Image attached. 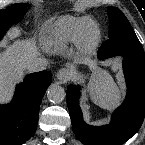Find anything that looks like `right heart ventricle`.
<instances>
[{
    "instance_id": "1",
    "label": "right heart ventricle",
    "mask_w": 145,
    "mask_h": 145,
    "mask_svg": "<svg viewBox=\"0 0 145 145\" xmlns=\"http://www.w3.org/2000/svg\"><path fill=\"white\" fill-rule=\"evenodd\" d=\"M96 28V23L88 17H60L48 31L44 46L52 52L65 51L72 45L83 43L87 33Z\"/></svg>"
}]
</instances>
